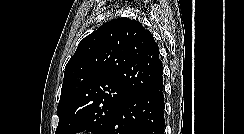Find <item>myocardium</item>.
<instances>
[{"label": "myocardium", "mask_w": 244, "mask_h": 134, "mask_svg": "<svg viewBox=\"0 0 244 134\" xmlns=\"http://www.w3.org/2000/svg\"><path fill=\"white\" fill-rule=\"evenodd\" d=\"M82 134H96V133H82Z\"/></svg>", "instance_id": "1"}]
</instances>
